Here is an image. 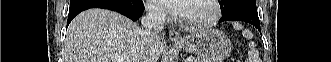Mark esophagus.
I'll return each mask as SVG.
<instances>
[{"instance_id":"1","label":"esophagus","mask_w":331,"mask_h":62,"mask_svg":"<svg viewBox=\"0 0 331 62\" xmlns=\"http://www.w3.org/2000/svg\"><path fill=\"white\" fill-rule=\"evenodd\" d=\"M169 37H170V39H171L172 41H174V42H180V41H183V38H182L180 32L177 31V30H175V29H171V30L169 31Z\"/></svg>"}]
</instances>
